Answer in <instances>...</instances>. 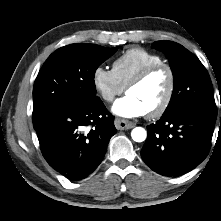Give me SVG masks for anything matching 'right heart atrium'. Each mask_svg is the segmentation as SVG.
<instances>
[{
  "mask_svg": "<svg viewBox=\"0 0 221 221\" xmlns=\"http://www.w3.org/2000/svg\"><path fill=\"white\" fill-rule=\"evenodd\" d=\"M92 83L100 98L110 103L124 91L112 70L98 66L92 73Z\"/></svg>",
  "mask_w": 221,
  "mask_h": 221,
  "instance_id": "d8ad5b80",
  "label": "right heart atrium"
}]
</instances>
